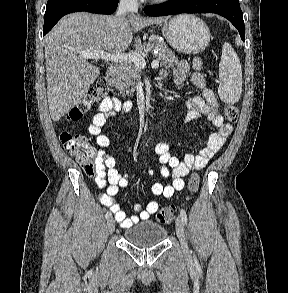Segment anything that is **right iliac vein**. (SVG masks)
Returning a JSON list of instances; mask_svg holds the SVG:
<instances>
[{
	"instance_id": "right-iliac-vein-1",
	"label": "right iliac vein",
	"mask_w": 288,
	"mask_h": 293,
	"mask_svg": "<svg viewBox=\"0 0 288 293\" xmlns=\"http://www.w3.org/2000/svg\"><path fill=\"white\" fill-rule=\"evenodd\" d=\"M107 229L110 234H112L115 230V222L113 218H109L107 221Z\"/></svg>"
}]
</instances>
